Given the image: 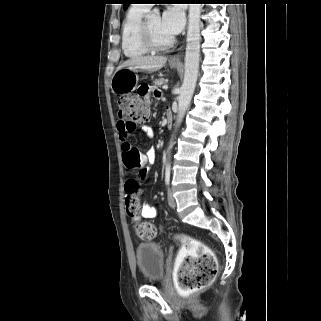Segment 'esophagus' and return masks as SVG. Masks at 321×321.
Instances as JSON below:
<instances>
[{"mask_svg":"<svg viewBox=\"0 0 321 321\" xmlns=\"http://www.w3.org/2000/svg\"><path fill=\"white\" fill-rule=\"evenodd\" d=\"M181 56H182V54H181V51H180V52H178L177 54L173 55V56L171 57L170 61H171V62H179L180 59H181Z\"/></svg>","mask_w":321,"mask_h":321,"instance_id":"1","label":"esophagus"}]
</instances>
